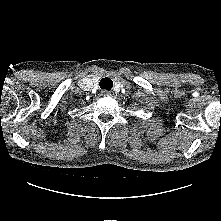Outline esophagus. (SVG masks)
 <instances>
[{"label": "esophagus", "instance_id": "esophagus-1", "mask_svg": "<svg viewBox=\"0 0 221 221\" xmlns=\"http://www.w3.org/2000/svg\"><path fill=\"white\" fill-rule=\"evenodd\" d=\"M102 94H103V95H109L110 93H109L108 91H105V90H104V91H102Z\"/></svg>", "mask_w": 221, "mask_h": 221}]
</instances>
